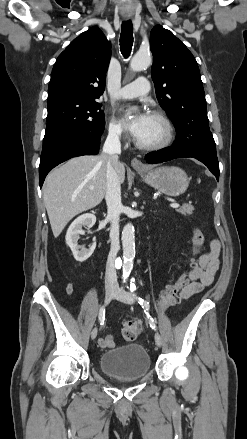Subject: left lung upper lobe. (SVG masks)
Listing matches in <instances>:
<instances>
[{
  "label": "left lung upper lobe",
  "instance_id": "left-lung-upper-lobe-1",
  "mask_svg": "<svg viewBox=\"0 0 247 439\" xmlns=\"http://www.w3.org/2000/svg\"><path fill=\"white\" fill-rule=\"evenodd\" d=\"M150 49L156 97L175 126L177 140L174 144L219 169L205 93L194 56L171 31L160 25L151 31Z\"/></svg>",
  "mask_w": 247,
  "mask_h": 439
}]
</instances>
